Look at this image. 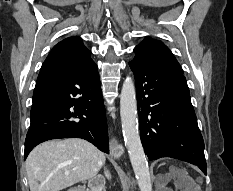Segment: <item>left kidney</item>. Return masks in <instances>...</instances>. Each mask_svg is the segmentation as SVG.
I'll return each instance as SVG.
<instances>
[{"label": "left kidney", "instance_id": "1", "mask_svg": "<svg viewBox=\"0 0 233 191\" xmlns=\"http://www.w3.org/2000/svg\"><path fill=\"white\" fill-rule=\"evenodd\" d=\"M171 178L176 179L177 184H178L179 186H182V179H181V178H179L178 176H171V175H168V176H167V180H169V179H171ZM167 191H170V190H167ZM184 191H185V190H184Z\"/></svg>", "mask_w": 233, "mask_h": 191}]
</instances>
